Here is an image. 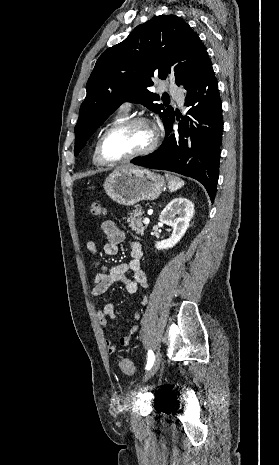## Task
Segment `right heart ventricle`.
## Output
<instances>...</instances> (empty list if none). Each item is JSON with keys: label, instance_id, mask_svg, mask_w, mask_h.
Wrapping results in <instances>:
<instances>
[{"label": "right heart ventricle", "instance_id": "1", "mask_svg": "<svg viewBox=\"0 0 279 465\" xmlns=\"http://www.w3.org/2000/svg\"><path fill=\"white\" fill-rule=\"evenodd\" d=\"M127 113H128V111H126V110L120 108V109L117 111V113L106 123V125L104 126L103 131L101 132V134H102V133L104 132V130H105L106 128H108L110 125H112V124H114V123H116V122H118V121H120V120H123V119L127 118ZM101 134H100V136H101ZM100 136H99V138H100ZM99 138H98V140H99ZM98 140H97V143H98ZM97 143H96L95 148H94V151H93L92 159H93V163H94L95 165H97V166H102V165H104V164L99 160L98 155H97Z\"/></svg>", "mask_w": 279, "mask_h": 465}]
</instances>
